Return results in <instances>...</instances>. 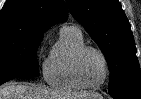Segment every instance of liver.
I'll return each instance as SVG.
<instances>
[{
	"label": "liver",
	"instance_id": "1",
	"mask_svg": "<svg viewBox=\"0 0 141 99\" xmlns=\"http://www.w3.org/2000/svg\"><path fill=\"white\" fill-rule=\"evenodd\" d=\"M95 93H64L34 84L9 83L0 88V99H86Z\"/></svg>",
	"mask_w": 141,
	"mask_h": 99
}]
</instances>
